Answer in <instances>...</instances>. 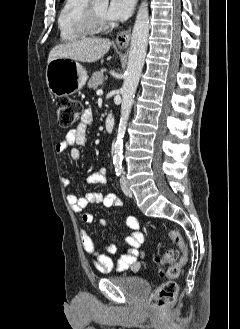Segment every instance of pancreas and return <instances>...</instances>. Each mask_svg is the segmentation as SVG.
<instances>
[{"label":"pancreas","instance_id":"1","mask_svg":"<svg viewBox=\"0 0 240 329\" xmlns=\"http://www.w3.org/2000/svg\"><path fill=\"white\" fill-rule=\"evenodd\" d=\"M104 75L101 72L93 73L92 77L89 79L88 87L96 89L99 85L103 83Z\"/></svg>","mask_w":240,"mask_h":329}]
</instances>
